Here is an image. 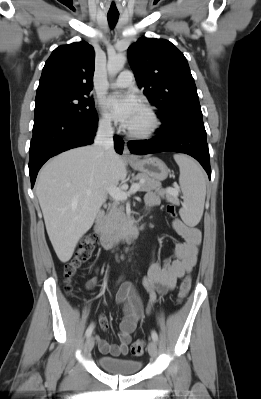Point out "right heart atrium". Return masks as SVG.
Instances as JSON below:
<instances>
[{"instance_id":"1","label":"right heart atrium","mask_w":261,"mask_h":399,"mask_svg":"<svg viewBox=\"0 0 261 399\" xmlns=\"http://www.w3.org/2000/svg\"><path fill=\"white\" fill-rule=\"evenodd\" d=\"M99 128L105 132L113 130V124L110 117L107 114H102L99 118Z\"/></svg>"}]
</instances>
